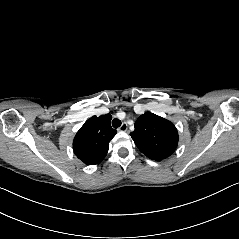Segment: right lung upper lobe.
Masks as SVG:
<instances>
[{
    "instance_id": "obj_1",
    "label": "right lung upper lobe",
    "mask_w": 239,
    "mask_h": 239,
    "mask_svg": "<svg viewBox=\"0 0 239 239\" xmlns=\"http://www.w3.org/2000/svg\"><path fill=\"white\" fill-rule=\"evenodd\" d=\"M111 115L89 118L73 140L75 155L87 165L100 163L106 156L110 140L117 131L110 126Z\"/></svg>"
}]
</instances>
